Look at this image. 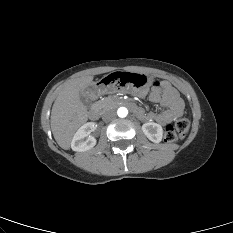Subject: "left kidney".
Instances as JSON below:
<instances>
[{"label": "left kidney", "mask_w": 233, "mask_h": 233, "mask_svg": "<svg viewBox=\"0 0 233 233\" xmlns=\"http://www.w3.org/2000/svg\"><path fill=\"white\" fill-rule=\"evenodd\" d=\"M142 131L150 141L154 143L161 142L163 137V129L161 125L148 122L142 125Z\"/></svg>", "instance_id": "left-kidney-1"}]
</instances>
